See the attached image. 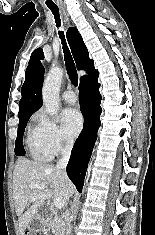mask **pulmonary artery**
I'll use <instances>...</instances> for the list:
<instances>
[{
	"label": "pulmonary artery",
	"instance_id": "1",
	"mask_svg": "<svg viewBox=\"0 0 155 235\" xmlns=\"http://www.w3.org/2000/svg\"><path fill=\"white\" fill-rule=\"evenodd\" d=\"M62 97L65 100V102H67L69 104H74L77 100V97H76L75 93L71 90H66L62 94Z\"/></svg>",
	"mask_w": 155,
	"mask_h": 235
}]
</instances>
